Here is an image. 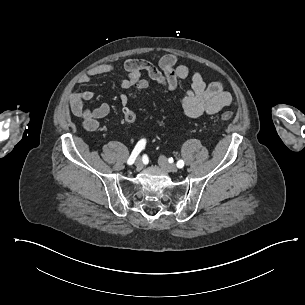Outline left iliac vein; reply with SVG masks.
Masks as SVG:
<instances>
[{
  "mask_svg": "<svg viewBox=\"0 0 305 305\" xmlns=\"http://www.w3.org/2000/svg\"><path fill=\"white\" fill-rule=\"evenodd\" d=\"M158 163L161 169H163L165 172L170 173V172H177L178 168L174 164H169L167 162V159L164 156H160L158 159Z\"/></svg>",
  "mask_w": 305,
  "mask_h": 305,
  "instance_id": "4c4485c4",
  "label": "left iliac vein"
}]
</instances>
